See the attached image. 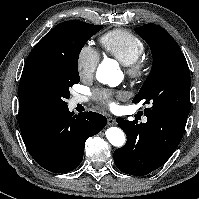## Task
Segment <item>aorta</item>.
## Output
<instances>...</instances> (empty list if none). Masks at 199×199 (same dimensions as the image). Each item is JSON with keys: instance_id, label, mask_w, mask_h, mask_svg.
Returning a JSON list of instances; mask_svg holds the SVG:
<instances>
[{"instance_id": "1", "label": "aorta", "mask_w": 199, "mask_h": 199, "mask_svg": "<svg viewBox=\"0 0 199 199\" xmlns=\"http://www.w3.org/2000/svg\"><path fill=\"white\" fill-rule=\"evenodd\" d=\"M97 79L110 85H117L122 80V72L114 67L108 66L106 63H102L97 70ZM108 141L116 147H121L125 143L124 132L118 127H110L105 132Z\"/></svg>"}]
</instances>
